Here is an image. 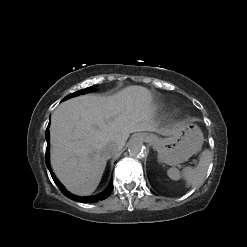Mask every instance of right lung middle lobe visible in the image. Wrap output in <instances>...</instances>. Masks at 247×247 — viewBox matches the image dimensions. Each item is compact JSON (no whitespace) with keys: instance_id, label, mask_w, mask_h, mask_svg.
Returning a JSON list of instances; mask_svg holds the SVG:
<instances>
[{"instance_id":"1","label":"right lung middle lobe","mask_w":247,"mask_h":247,"mask_svg":"<svg viewBox=\"0 0 247 247\" xmlns=\"http://www.w3.org/2000/svg\"><path fill=\"white\" fill-rule=\"evenodd\" d=\"M92 89H93V87H88L86 89L79 90L77 92L71 93V94L67 95L63 100H67V99H69L71 97L78 96L80 94L89 93V92L92 91Z\"/></svg>"}]
</instances>
